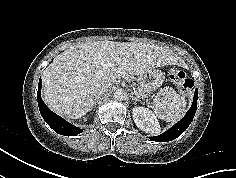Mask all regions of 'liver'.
Instances as JSON below:
<instances>
[{
  "label": "liver",
  "mask_w": 236,
  "mask_h": 178,
  "mask_svg": "<svg viewBox=\"0 0 236 178\" xmlns=\"http://www.w3.org/2000/svg\"><path fill=\"white\" fill-rule=\"evenodd\" d=\"M121 58L120 64L104 65ZM179 57L168 48L145 43L95 41L73 45L57 55L42 75V98L54 112L71 119L92 108L94 89L118 78L177 65Z\"/></svg>",
  "instance_id": "obj_1"
}]
</instances>
